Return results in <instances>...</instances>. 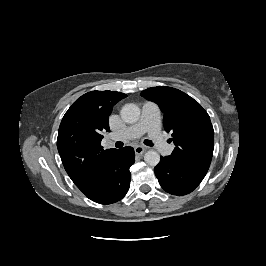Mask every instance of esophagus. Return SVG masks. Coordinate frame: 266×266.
Returning <instances> with one entry per match:
<instances>
[{
	"label": "esophagus",
	"mask_w": 266,
	"mask_h": 266,
	"mask_svg": "<svg viewBox=\"0 0 266 266\" xmlns=\"http://www.w3.org/2000/svg\"><path fill=\"white\" fill-rule=\"evenodd\" d=\"M134 151L136 154L141 155L146 151V148L144 146L138 145L134 148Z\"/></svg>",
	"instance_id": "34e87169"
}]
</instances>
